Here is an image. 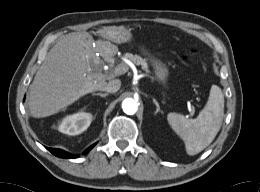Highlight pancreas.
<instances>
[{
  "instance_id": "cf45deb5",
  "label": "pancreas",
  "mask_w": 260,
  "mask_h": 192,
  "mask_svg": "<svg viewBox=\"0 0 260 192\" xmlns=\"http://www.w3.org/2000/svg\"><path fill=\"white\" fill-rule=\"evenodd\" d=\"M124 57L136 65H141L142 69L145 70L146 72H150L148 69L147 61L145 59H143L141 56L127 53L124 55Z\"/></svg>"
}]
</instances>
